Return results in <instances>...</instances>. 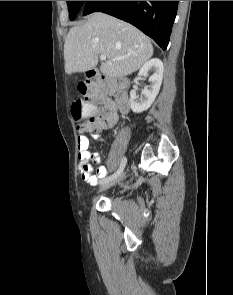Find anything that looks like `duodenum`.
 Listing matches in <instances>:
<instances>
[{
    "instance_id": "duodenum-1",
    "label": "duodenum",
    "mask_w": 233,
    "mask_h": 295,
    "mask_svg": "<svg viewBox=\"0 0 233 295\" xmlns=\"http://www.w3.org/2000/svg\"><path fill=\"white\" fill-rule=\"evenodd\" d=\"M89 77L96 78L97 74L94 70L89 71ZM117 107L121 112H127L129 109V100L125 94H121L117 99Z\"/></svg>"
}]
</instances>
